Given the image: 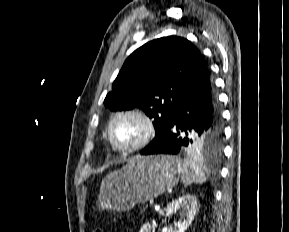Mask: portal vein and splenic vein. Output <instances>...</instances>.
Masks as SVG:
<instances>
[{
    "label": "portal vein and splenic vein",
    "mask_w": 289,
    "mask_h": 232,
    "mask_svg": "<svg viewBox=\"0 0 289 232\" xmlns=\"http://www.w3.org/2000/svg\"><path fill=\"white\" fill-rule=\"evenodd\" d=\"M149 204H150L151 206L155 205L154 200H150V201H149Z\"/></svg>",
    "instance_id": "1"
}]
</instances>
